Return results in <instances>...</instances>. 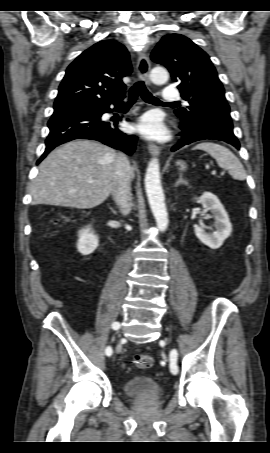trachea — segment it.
<instances>
[{
  "instance_id": "1",
  "label": "trachea",
  "mask_w": 270,
  "mask_h": 453,
  "mask_svg": "<svg viewBox=\"0 0 270 453\" xmlns=\"http://www.w3.org/2000/svg\"><path fill=\"white\" fill-rule=\"evenodd\" d=\"M129 98L127 101V105L133 104L137 97L140 95L142 99L148 103L156 104V105H165V104H177L178 102L172 103H164L160 101L158 98L154 97L146 88L143 81H139L135 83V85L129 91Z\"/></svg>"
}]
</instances>
